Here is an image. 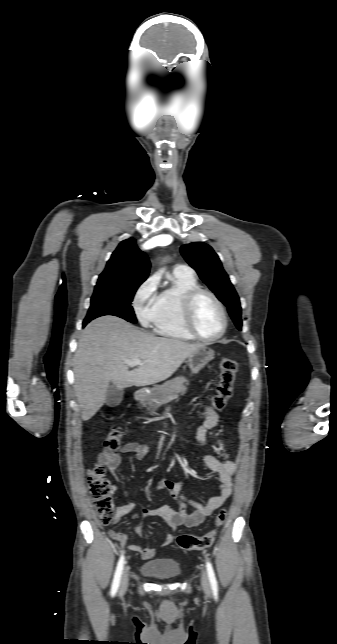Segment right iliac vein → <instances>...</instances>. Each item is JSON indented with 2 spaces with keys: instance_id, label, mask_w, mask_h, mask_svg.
Returning a JSON list of instances; mask_svg holds the SVG:
<instances>
[{
  "instance_id": "63e3f726",
  "label": "right iliac vein",
  "mask_w": 337,
  "mask_h": 644,
  "mask_svg": "<svg viewBox=\"0 0 337 644\" xmlns=\"http://www.w3.org/2000/svg\"><path fill=\"white\" fill-rule=\"evenodd\" d=\"M128 581H129L128 570L125 569V571L122 574L121 583H120V594L121 595H123L126 592L127 587H128Z\"/></svg>"
}]
</instances>
